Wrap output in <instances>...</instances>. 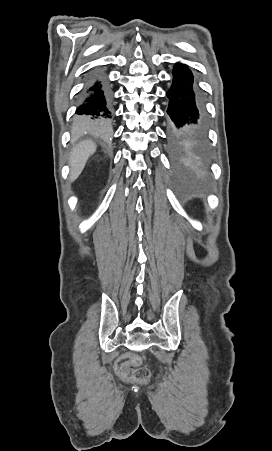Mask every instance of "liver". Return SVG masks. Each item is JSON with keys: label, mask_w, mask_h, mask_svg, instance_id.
<instances>
[{"label": "liver", "mask_w": 272, "mask_h": 451, "mask_svg": "<svg viewBox=\"0 0 272 451\" xmlns=\"http://www.w3.org/2000/svg\"><path fill=\"white\" fill-rule=\"evenodd\" d=\"M96 152V146L91 140H86V142H80L75 148H73L69 160L71 166L69 180L70 182H75L78 176H80L88 158Z\"/></svg>", "instance_id": "1"}]
</instances>
